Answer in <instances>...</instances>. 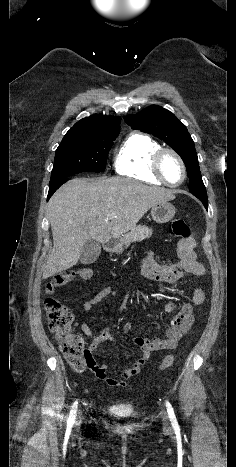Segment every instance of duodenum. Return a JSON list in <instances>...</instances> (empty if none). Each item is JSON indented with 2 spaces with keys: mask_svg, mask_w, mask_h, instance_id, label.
Instances as JSON below:
<instances>
[{
  "mask_svg": "<svg viewBox=\"0 0 236 467\" xmlns=\"http://www.w3.org/2000/svg\"><path fill=\"white\" fill-rule=\"evenodd\" d=\"M115 246V241L111 238H107L103 241V248L106 251H112Z\"/></svg>",
  "mask_w": 236,
  "mask_h": 467,
  "instance_id": "obj_1",
  "label": "duodenum"
}]
</instances>
